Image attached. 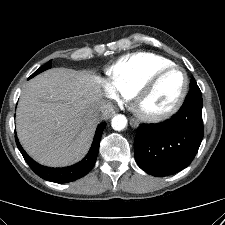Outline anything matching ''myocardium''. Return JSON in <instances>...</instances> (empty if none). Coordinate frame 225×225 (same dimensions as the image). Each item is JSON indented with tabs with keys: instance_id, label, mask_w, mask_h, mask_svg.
<instances>
[{
	"instance_id": "1",
	"label": "myocardium",
	"mask_w": 225,
	"mask_h": 225,
	"mask_svg": "<svg viewBox=\"0 0 225 225\" xmlns=\"http://www.w3.org/2000/svg\"><path fill=\"white\" fill-rule=\"evenodd\" d=\"M172 72H180L182 75V84H181L180 90L176 98L172 102V104L162 111H158V112L145 111L142 107V103L144 99L154 90L158 82L164 76ZM188 85H189V80H188L187 73L182 67L178 65L173 64L171 66L165 67L155 72L138 88V90L135 92L133 96V106H134L135 113L140 119L150 123H157L170 118L181 108L187 96Z\"/></svg>"
}]
</instances>
